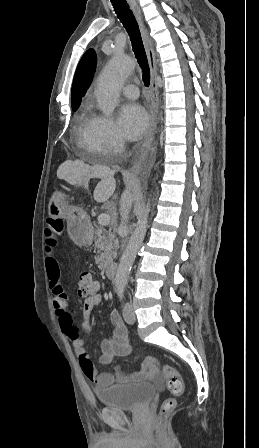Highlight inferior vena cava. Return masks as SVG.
Returning a JSON list of instances; mask_svg holds the SVG:
<instances>
[{"mask_svg": "<svg viewBox=\"0 0 259 448\" xmlns=\"http://www.w3.org/2000/svg\"><path fill=\"white\" fill-rule=\"evenodd\" d=\"M120 150H124V144H119ZM132 208V198L130 196V192L125 190L121 196L120 200V216H121V224L118 230H125V222H127L128 214ZM125 308H130V304H126Z\"/></svg>", "mask_w": 259, "mask_h": 448, "instance_id": "inferior-vena-cava-1", "label": "inferior vena cava"}]
</instances>
